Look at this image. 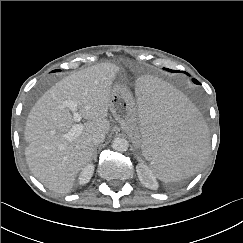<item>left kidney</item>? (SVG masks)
<instances>
[{
  "mask_svg": "<svg viewBox=\"0 0 243 243\" xmlns=\"http://www.w3.org/2000/svg\"><path fill=\"white\" fill-rule=\"evenodd\" d=\"M136 171L138 174V178L141 181V183L149 188V189H157L158 183L156 181V178L154 177L152 171L149 169L148 166H146L143 163L138 164L136 167Z\"/></svg>",
  "mask_w": 243,
  "mask_h": 243,
  "instance_id": "1",
  "label": "left kidney"
}]
</instances>
